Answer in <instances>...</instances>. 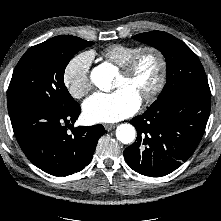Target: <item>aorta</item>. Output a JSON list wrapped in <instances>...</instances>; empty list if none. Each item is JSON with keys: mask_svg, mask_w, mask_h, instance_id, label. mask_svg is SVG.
I'll use <instances>...</instances> for the list:
<instances>
[{"mask_svg": "<svg viewBox=\"0 0 221 221\" xmlns=\"http://www.w3.org/2000/svg\"><path fill=\"white\" fill-rule=\"evenodd\" d=\"M113 77V72L105 66H98L94 68L91 73V79L94 85L105 92L112 89ZM135 136L136 131L134 126H132L131 124H120L116 129V137L123 144L132 143L135 139Z\"/></svg>", "mask_w": 221, "mask_h": 221, "instance_id": "aorta-1", "label": "aorta"}]
</instances>
